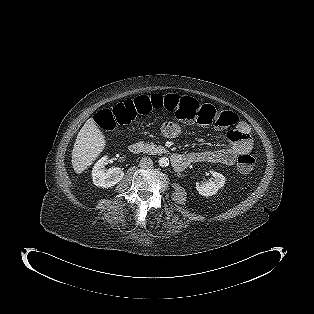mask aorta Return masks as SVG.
Wrapping results in <instances>:
<instances>
[{"label": "aorta", "instance_id": "1", "mask_svg": "<svg viewBox=\"0 0 314 314\" xmlns=\"http://www.w3.org/2000/svg\"><path fill=\"white\" fill-rule=\"evenodd\" d=\"M158 162L161 167H167L169 165V159L167 157H161Z\"/></svg>", "mask_w": 314, "mask_h": 314}]
</instances>
